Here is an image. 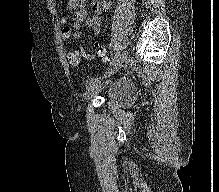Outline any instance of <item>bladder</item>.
Listing matches in <instances>:
<instances>
[{
  "label": "bladder",
  "instance_id": "obj_1",
  "mask_svg": "<svg viewBox=\"0 0 219 192\" xmlns=\"http://www.w3.org/2000/svg\"><path fill=\"white\" fill-rule=\"evenodd\" d=\"M134 87L131 83L117 82L107 87L105 102L109 106H121L134 97Z\"/></svg>",
  "mask_w": 219,
  "mask_h": 192
}]
</instances>
